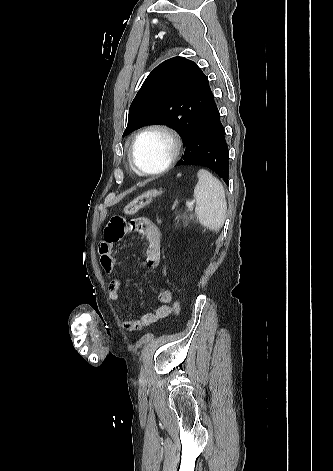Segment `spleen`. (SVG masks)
<instances>
[{"mask_svg": "<svg viewBox=\"0 0 333 471\" xmlns=\"http://www.w3.org/2000/svg\"><path fill=\"white\" fill-rule=\"evenodd\" d=\"M194 189L195 214L200 224L217 232L224 225L227 202L222 183L206 169H199Z\"/></svg>", "mask_w": 333, "mask_h": 471, "instance_id": "1", "label": "spleen"}]
</instances>
